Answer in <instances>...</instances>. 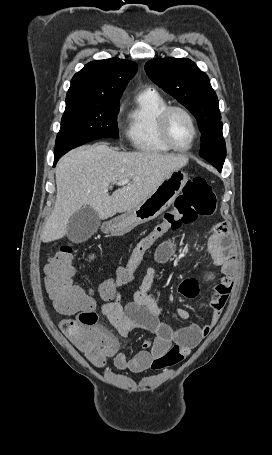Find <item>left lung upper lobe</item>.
<instances>
[{
  "label": "left lung upper lobe",
  "mask_w": 272,
  "mask_h": 455,
  "mask_svg": "<svg viewBox=\"0 0 272 455\" xmlns=\"http://www.w3.org/2000/svg\"><path fill=\"white\" fill-rule=\"evenodd\" d=\"M149 78L176 98L197 119L200 156L207 161L226 157L221 114L208 76L187 58H155L145 64Z\"/></svg>",
  "instance_id": "left-lung-upper-lobe-1"
}]
</instances>
